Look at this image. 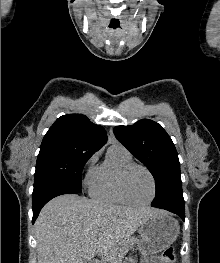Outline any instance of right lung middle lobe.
Instances as JSON below:
<instances>
[{"mask_svg": "<svg viewBox=\"0 0 220 263\" xmlns=\"http://www.w3.org/2000/svg\"><path fill=\"white\" fill-rule=\"evenodd\" d=\"M94 152L51 149L39 152L34 190L47 186H65L81 189V175L85 163Z\"/></svg>", "mask_w": 220, "mask_h": 263, "instance_id": "obj_1", "label": "right lung middle lobe"}]
</instances>
